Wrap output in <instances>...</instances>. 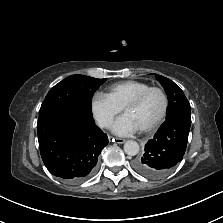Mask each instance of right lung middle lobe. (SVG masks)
<instances>
[{"label": "right lung middle lobe", "mask_w": 223, "mask_h": 223, "mask_svg": "<svg viewBox=\"0 0 223 223\" xmlns=\"http://www.w3.org/2000/svg\"><path fill=\"white\" fill-rule=\"evenodd\" d=\"M106 81L85 75H71L48 92L39 113L66 103H73L92 112L91 103L95 91Z\"/></svg>", "instance_id": "right-lung-middle-lobe-1"}]
</instances>
